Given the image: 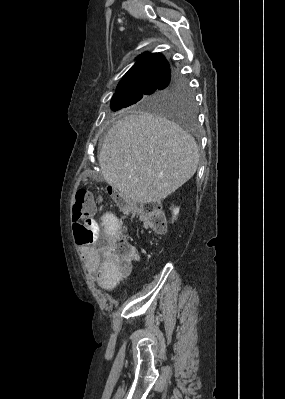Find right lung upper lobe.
Returning a JSON list of instances; mask_svg holds the SVG:
<instances>
[{
    "label": "right lung upper lobe",
    "mask_w": 285,
    "mask_h": 399,
    "mask_svg": "<svg viewBox=\"0 0 285 399\" xmlns=\"http://www.w3.org/2000/svg\"><path fill=\"white\" fill-rule=\"evenodd\" d=\"M169 69L170 65L162 54H143L119 82L115 94L158 88Z\"/></svg>",
    "instance_id": "cb5924a9"
}]
</instances>
